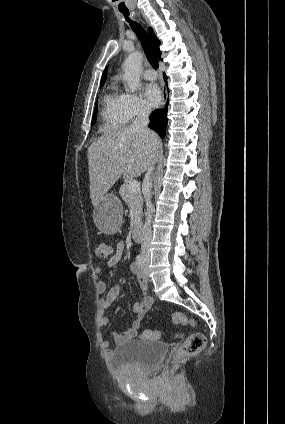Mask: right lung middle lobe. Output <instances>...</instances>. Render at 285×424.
<instances>
[{
	"label": "right lung middle lobe",
	"instance_id": "1",
	"mask_svg": "<svg viewBox=\"0 0 285 424\" xmlns=\"http://www.w3.org/2000/svg\"><path fill=\"white\" fill-rule=\"evenodd\" d=\"M96 118H97V105L95 106L94 115H93L91 124H94L95 123Z\"/></svg>",
	"mask_w": 285,
	"mask_h": 424
}]
</instances>
